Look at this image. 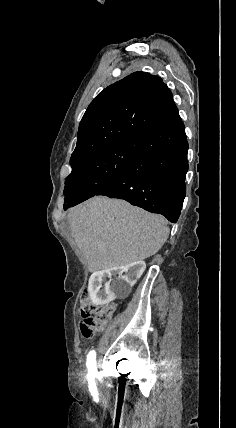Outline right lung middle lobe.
<instances>
[{
	"label": "right lung middle lobe",
	"instance_id": "obj_1",
	"mask_svg": "<svg viewBox=\"0 0 236 428\" xmlns=\"http://www.w3.org/2000/svg\"><path fill=\"white\" fill-rule=\"evenodd\" d=\"M138 147L137 139L126 140L71 164L72 172L65 181L64 210L108 186L127 167Z\"/></svg>",
	"mask_w": 236,
	"mask_h": 428
}]
</instances>
